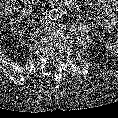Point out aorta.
I'll return each mask as SVG.
<instances>
[{"mask_svg":"<svg viewBox=\"0 0 118 118\" xmlns=\"http://www.w3.org/2000/svg\"><path fill=\"white\" fill-rule=\"evenodd\" d=\"M61 13L57 9H52L49 12V17L53 20H56L60 17Z\"/></svg>","mask_w":118,"mask_h":118,"instance_id":"aorta-1","label":"aorta"}]
</instances>
